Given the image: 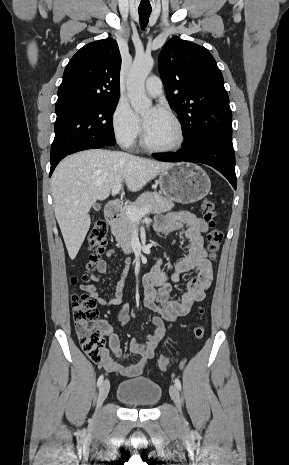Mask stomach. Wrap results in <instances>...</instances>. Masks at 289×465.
I'll return each instance as SVG.
<instances>
[{"instance_id": "obj_1", "label": "stomach", "mask_w": 289, "mask_h": 465, "mask_svg": "<svg viewBox=\"0 0 289 465\" xmlns=\"http://www.w3.org/2000/svg\"><path fill=\"white\" fill-rule=\"evenodd\" d=\"M161 193L168 199L190 204L203 199L211 182L206 172L193 163H175L159 176Z\"/></svg>"}]
</instances>
